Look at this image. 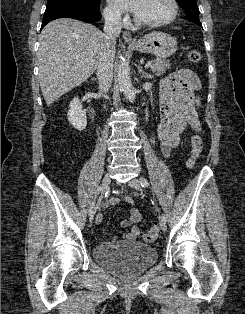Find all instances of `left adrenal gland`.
I'll return each instance as SVG.
<instances>
[{
  "label": "left adrenal gland",
  "instance_id": "1",
  "mask_svg": "<svg viewBox=\"0 0 245 314\" xmlns=\"http://www.w3.org/2000/svg\"><path fill=\"white\" fill-rule=\"evenodd\" d=\"M137 68H138L139 74L141 75V78L152 79V76L150 74L143 71L141 64H139Z\"/></svg>",
  "mask_w": 245,
  "mask_h": 314
}]
</instances>
